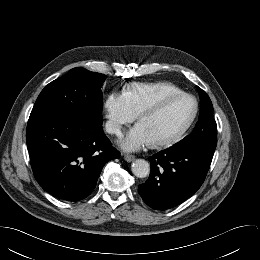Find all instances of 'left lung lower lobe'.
I'll return each instance as SVG.
<instances>
[{
    "instance_id": "1",
    "label": "left lung lower lobe",
    "mask_w": 260,
    "mask_h": 260,
    "mask_svg": "<svg viewBox=\"0 0 260 260\" xmlns=\"http://www.w3.org/2000/svg\"><path fill=\"white\" fill-rule=\"evenodd\" d=\"M214 151L173 145L149 158L151 172L138 193L155 210H167L191 197L202 185Z\"/></svg>"
}]
</instances>
